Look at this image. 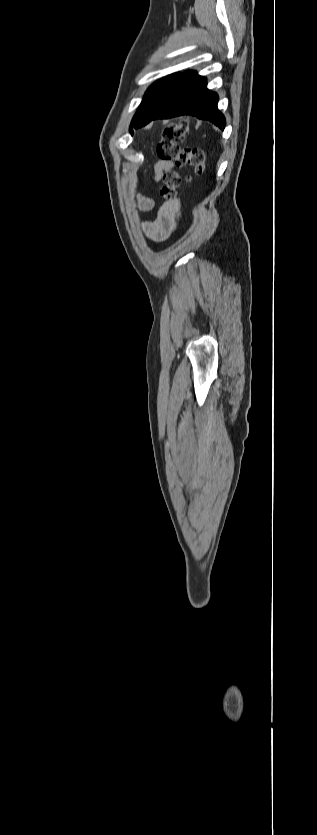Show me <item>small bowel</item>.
Returning a JSON list of instances; mask_svg holds the SVG:
<instances>
[{"label": "small bowel", "mask_w": 317, "mask_h": 835, "mask_svg": "<svg viewBox=\"0 0 317 835\" xmlns=\"http://www.w3.org/2000/svg\"><path fill=\"white\" fill-rule=\"evenodd\" d=\"M174 166L170 161H159L153 172V181L157 182L161 179L164 173L170 171ZM137 207L145 212L151 211L154 208V200L145 195H137ZM179 213L171 206L162 207L157 214L155 220L146 226L147 236L155 242H163L167 240L175 231Z\"/></svg>", "instance_id": "obj_1"}]
</instances>
